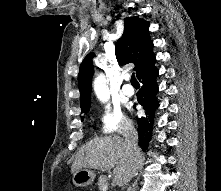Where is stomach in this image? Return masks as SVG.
Listing matches in <instances>:
<instances>
[{
  "instance_id": "obj_1",
  "label": "stomach",
  "mask_w": 221,
  "mask_h": 191,
  "mask_svg": "<svg viewBox=\"0 0 221 191\" xmlns=\"http://www.w3.org/2000/svg\"><path fill=\"white\" fill-rule=\"evenodd\" d=\"M96 178V174L89 168H82L73 173V183L78 187L89 186L93 183Z\"/></svg>"
}]
</instances>
